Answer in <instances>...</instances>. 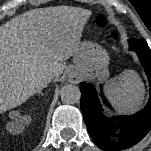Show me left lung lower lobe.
Instances as JSON below:
<instances>
[{"mask_svg":"<svg viewBox=\"0 0 151 151\" xmlns=\"http://www.w3.org/2000/svg\"><path fill=\"white\" fill-rule=\"evenodd\" d=\"M130 50L137 53L150 84V98L143 110L131 116L108 118L92 84L80 83V107L88 132L105 151L128 149L146 136L151 128V50L144 39L131 38Z\"/></svg>","mask_w":151,"mask_h":151,"instance_id":"obj_1","label":"left lung lower lobe"}]
</instances>
